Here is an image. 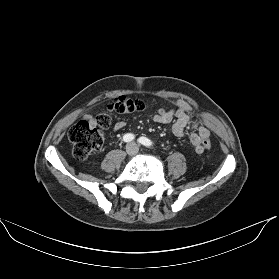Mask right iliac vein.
I'll use <instances>...</instances> for the list:
<instances>
[{
  "label": "right iliac vein",
  "mask_w": 279,
  "mask_h": 279,
  "mask_svg": "<svg viewBox=\"0 0 279 279\" xmlns=\"http://www.w3.org/2000/svg\"><path fill=\"white\" fill-rule=\"evenodd\" d=\"M126 153L128 154V155H132L133 153H134V146L133 145H128L127 147H126Z\"/></svg>",
  "instance_id": "63e3f726"
}]
</instances>
